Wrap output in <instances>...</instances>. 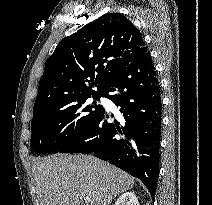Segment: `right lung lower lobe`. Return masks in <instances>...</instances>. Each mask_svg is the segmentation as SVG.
Segmentation results:
<instances>
[{
    "label": "right lung lower lobe",
    "instance_id": "right-lung-lower-lobe-1",
    "mask_svg": "<svg viewBox=\"0 0 212 205\" xmlns=\"http://www.w3.org/2000/svg\"><path fill=\"white\" fill-rule=\"evenodd\" d=\"M102 96L120 107L123 120L109 123L103 109L82 134L58 152L93 153L139 178L153 199L159 177L162 103L150 52L121 70Z\"/></svg>",
    "mask_w": 212,
    "mask_h": 205
}]
</instances>
